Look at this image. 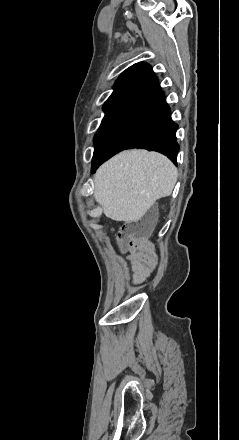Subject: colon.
<instances>
[{"mask_svg":"<svg viewBox=\"0 0 239 440\" xmlns=\"http://www.w3.org/2000/svg\"><path fill=\"white\" fill-rule=\"evenodd\" d=\"M143 232L134 224L126 225L118 235V242L122 248L138 247L143 245Z\"/></svg>","mask_w":239,"mask_h":440,"instance_id":"colon-1","label":"colon"}]
</instances>
